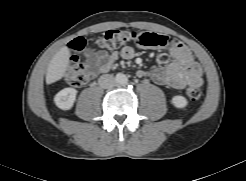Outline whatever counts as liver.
Masks as SVG:
<instances>
[{
	"instance_id": "liver-1",
	"label": "liver",
	"mask_w": 246,
	"mask_h": 181,
	"mask_svg": "<svg viewBox=\"0 0 246 181\" xmlns=\"http://www.w3.org/2000/svg\"><path fill=\"white\" fill-rule=\"evenodd\" d=\"M69 56L70 52L67 46L62 47L50 61L47 73H46V83L52 84L56 81L62 79L69 66Z\"/></svg>"
}]
</instances>
